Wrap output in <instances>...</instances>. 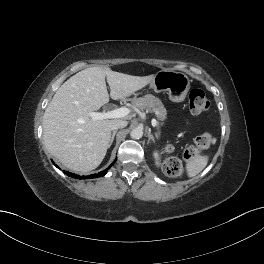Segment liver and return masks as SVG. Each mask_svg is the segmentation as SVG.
I'll return each instance as SVG.
<instances>
[{"label":"liver","mask_w":264,"mask_h":264,"mask_svg":"<svg viewBox=\"0 0 264 264\" xmlns=\"http://www.w3.org/2000/svg\"><path fill=\"white\" fill-rule=\"evenodd\" d=\"M154 75L139 77L104 67L84 69L56 91L43 116V137L47 150L64 166L89 172L104 159L112 126L121 119L92 120L90 112L148 85Z\"/></svg>","instance_id":"obj_1"}]
</instances>
